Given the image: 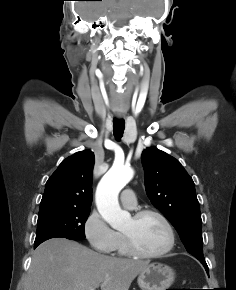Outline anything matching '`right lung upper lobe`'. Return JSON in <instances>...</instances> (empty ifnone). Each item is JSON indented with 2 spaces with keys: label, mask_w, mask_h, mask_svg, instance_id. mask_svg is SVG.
I'll list each match as a JSON object with an SVG mask.
<instances>
[{
  "label": "right lung upper lobe",
  "mask_w": 236,
  "mask_h": 290,
  "mask_svg": "<svg viewBox=\"0 0 236 290\" xmlns=\"http://www.w3.org/2000/svg\"><path fill=\"white\" fill-rule=\"evenodd\" d=\"M94 153L84 150L66 158L46 182L40 209H90Z\"/></svg>",
  "instance_id": "1"
}]
</instances>
